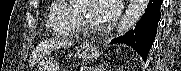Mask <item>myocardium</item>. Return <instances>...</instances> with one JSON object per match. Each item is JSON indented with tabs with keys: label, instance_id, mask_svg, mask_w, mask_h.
<instances>
[{
	"label": "myocardium",
	"instance_id": "1",
	"mask_svg": "<svg viewBox=\"0 0 181 71\" xmlns=\"http://www.w3.org/2000/svg\"><path fill=\"white\" fill-rule=\"evenodd\" d=\"M90 0H77L73 4V9L75 13V20L80 28V30L84 33L95 34L103 29L102 26L91 24L88 22L84 15V7H82V3L89 2Z\"/></svg>",
	"mask_w": 181,
	"mask_h": 71
}]
</instances>
